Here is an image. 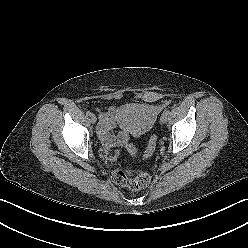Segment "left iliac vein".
<instances>
[{"mask_svg":"<svg viewBox=\"0 0 248 248\" xmlns=\"http://www.w3.org/2000/svg\"><path fill=\"white\" fill-rule=\"evenodd\" d=\"M160 120H161L162 123H166L167 122V120H168V113L166 111L163 112V114L160 117Z\"/></svg>","mask_w":248,"mask_h":248,"instance_id":"obj_1","label":"left iliac vein"}]
</instances>
